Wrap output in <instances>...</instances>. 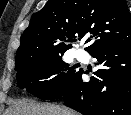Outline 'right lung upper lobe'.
<instances>
[{"label": "right lung upper lobe", "mask_w": 131, "mask_h": 115, "mask_svg": "<svg viewBox=\"0 0 131 115\" xmlns=\"http://www.w3.org/2000/svg\"><path fill=\"white\" fill-rule=\"evenodd\" d=\"M88 34H92L87 39L91 43L85 50L91 55L131 43V15L126 1L49 0L32 15L23 32L16 64L36 54L65 52L77 37Z\"/></svg>", "instance_id": "1"}]
</instances>
